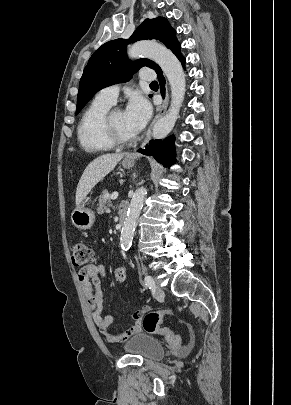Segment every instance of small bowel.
<instances>
[{
  "mask_svg": "<svg viewBox=\"0 0 291 405\" xmlns=\"http://www.w3.org/2000/svg\"><path fill=\"white\" fill-rule=\"evenodd\" d=\"M105 276V268L101 264H91L80 269L78 280L82 286L83 293L88 303L92 318L99 331L110 343H121L137 334L142 327V318L149 312L148 306H143L133 314V325L131 328L120 332L110 331L113 316L108 314L102 316L104 295L102 291V278Z\"/></svg>",
  "mask_w": 291,
  "mask_h": 405,
  "instance_id": "obj_1",
  "label": "small bowel"
}]
</instances>
